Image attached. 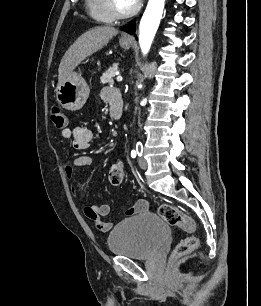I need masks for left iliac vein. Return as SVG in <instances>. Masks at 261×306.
I'll list each match as a JSON object with an SVG mask.
<instances>
[{"label": "left iliac vein", "instance_id": "left-iliac-vein-1", "mask_svg": "<svg viewBox=\"0 0 261 306\" xmlns=\"http://www.w3.org/2000/svg\"><path fill=\"white\" fill-rule=\"evenodd\" d=\"M138 164L144 170L147 169V167H148V163H147V161L143 157H140L138 159Z\"/></svg>", "mask_w": 261, "mask_h": 306}]
</instances>
